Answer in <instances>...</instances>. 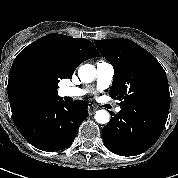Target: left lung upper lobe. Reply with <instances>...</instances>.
<instances>
[{
  "instance_id": "left-lung-upper-lobe-1",
  "label": "left lung upper lobe",
  "mask_w": 178,
  "mask_h": 178,
  "mask_svg": "<svg viewBox=\"0 0 178 178\" xmlns=\"http://www.w3.org/2000/svg\"><path fill=\"white\" fill-rule=\"evenodd\" d=\"M98 51L113 65L112 98L121 109L165 124L170 108L166 73L147 50L128 39L95 40Z\"/></svg>"
}]
</instances>
